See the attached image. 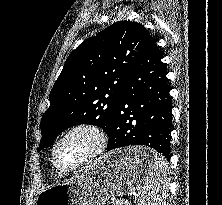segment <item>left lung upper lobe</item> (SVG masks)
<instances>
[{
	"instance_id": "obj_1",
	"label": "left lung upper lobe",
	"mask_w": 222,
	"mask_h": 205,
	"mask_svg": "<svg viewBox=\"0 0 222 205\" xmlns=\"http://www.w3.org/2000/svg\"><path fill=\"white\" fill-rule=\"evenodd\" d=\"M150 36L138 22L119 21L71 52L42 116L39 150L79 124L96 125L109 133L124 83Z\"/></svg>"
}]
</instances>
